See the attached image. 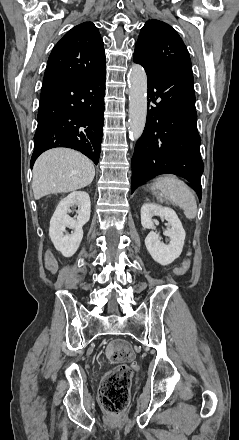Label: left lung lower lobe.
<instances>
[{"label":"left lung lower lobe","mask_w":239,"mask_h":440,"mask_svg":"<svg viewBox=\"0 0 239 440\" xmlns=\"http://www.w3.org/2000/svg\"><path fill=\"white\" fill-rule=\"evenodd\" d=\"M146 73L149 111L132 158L131 192L141 181L170 173L191 182L201 200L204 165L196 124L193 75L175 70H146Z\"/></svg>","instance_id":"obj_1"}]
</instances>
